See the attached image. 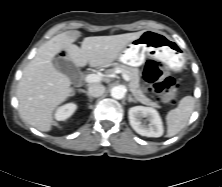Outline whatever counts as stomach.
I'll use <instances>...</instances> for the list:
<instances>
[{
    "label": "stomach",
    "mask_w": 222,
    "mask_h": 187,
    "mask_svg": "<svg viewBox=\"0 0 222 187\" xmlns=\"http://www.w3.org/2000/svg\"><path fill=\"white\" fill-rule=\"evenodd\" d=\"M148 56L164 62L174 72H180L186 63L178 43L167 34L155 30H145L121 51L118 59L123 64L138 67Z\"/></svg>",
    "instance_id": "stomach-1"
}]
</instances>
